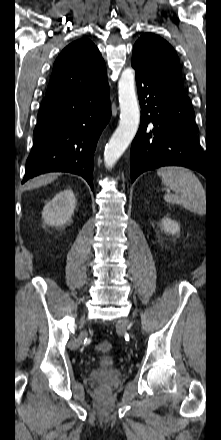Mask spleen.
<instances>
[{
    "instance_id": "obj_1",
    "label": "spleen",
    "mask_w": 221,
    "mask_h": 440,
    "mask_svg": "<svg viewBox=\"0 0 221 440\" xmlns=\"http://www.w3.org/2000/svg\"><path fill=\"white\" fill-rule=\"evenodd\" d=\"M157 175L175 192L164 195L166 202L181 205L194 213H205V190L191 170L176 166L161 167Z\"/></svg>"
}]
</instances>
